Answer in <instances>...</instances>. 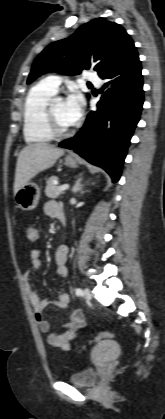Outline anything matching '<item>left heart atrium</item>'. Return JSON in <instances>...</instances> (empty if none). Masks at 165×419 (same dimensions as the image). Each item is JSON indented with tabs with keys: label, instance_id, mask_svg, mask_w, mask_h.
Here are the masks:
<instances>
[{
	"label": "left heart atrium",
	"instance_id": "1",
	"mask_svg": "<svg viewBox=\"0 0 165 419\" xmlns=\"http://www.w3.org/2000/svg\"><path fill=\"white\" fill-rule=\"evenodd\" d=\"M64 104L66 117L73 124L76 123L81 118L83 113V96L79 92L73 91L68 95Z\"/></svg>",
	"mask_w": 165,
	"mask_h": 419
}]
</instances>
